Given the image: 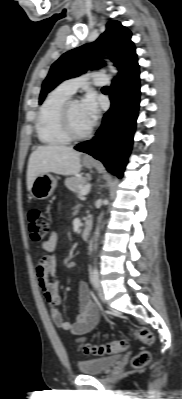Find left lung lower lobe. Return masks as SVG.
Here are the masks:
<instances>
[{"instance_id":"0a47b994","label":"left lung lower lobe","mask_w":182,"mask_h":399,"mask_svg":"<svg viewBox=\"0 0 182 399\" xmlns=\"http://www.w3.org/2000/svg\"><path fill=\"white\" fill-rule=\"evenodd\" d=\"M139 66L122 74L111 85V108L104 115L96 136L78 144L74 149L88 153L105 167L123 176L133 143L140 103Z\"/></svg>"}]
</instances>
